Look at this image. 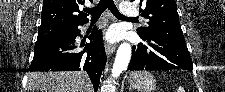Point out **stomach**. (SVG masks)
Wrapping results in <instances>:
<instances>
[{"instance_id": "0dacf381", "label": "stomach", "mask_w": 225, "mask_h": 92, "mask_svg": "<svg viewBox=\"0 0 225 92\" xmlns=\"http://www.w3.org/2000/svg\"><path fill=\"white\" fill-rule=\"evenodd\" d=\"M131 87L140 92H152L156 88V79L147 71H135L129 77Z\"/></svg>"}]
</instances>
